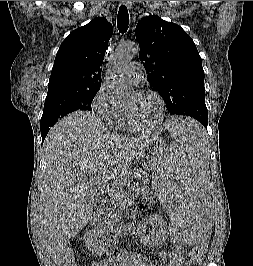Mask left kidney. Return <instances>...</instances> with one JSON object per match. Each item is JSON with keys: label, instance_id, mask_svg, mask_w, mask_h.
Instances as JSON below:
<instances>
[{"label": "left kidney", "instance_id": "1", "mask_svg": "<svg viewBox=\"0 0 253 266\" xmlns=\"http://www.w3.org/2000/svg\"><path fill=\"white\" fill-rule=\"evenodd\" d=\"M148 223L153 226L152 231L149 233L146 231V225ZM169 231L167 223L159 215H149L144 217L137 227L140 241L147 247H157L163 244L169 236Z\"/></svg>", "mask_w": 253, "mask_h": 266}]
</instances>
